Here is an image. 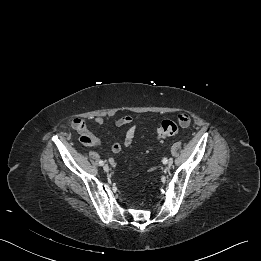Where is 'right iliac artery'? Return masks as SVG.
Masks as SVG:
<instances>
[{
    "mask_svg": "<svg viewBox=\"0 0 261 261\" xmlns=\"http://www.w3.org/2000/svg\"><path fill=\"white\" fill-rule=\"evenodd\" d=\"M99 164H100L101 166L104 165V161L100 160V161H99Z\"/></svg>",
    "mask_w": 261,
    "mask_h": 261,
    "instance_id": "obj_1",
    "label": "right iliac artery"
}]
</instances>
